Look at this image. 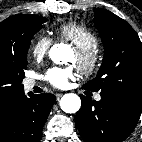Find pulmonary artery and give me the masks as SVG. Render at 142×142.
<instances>
[{
    "label": "pulmonary artery",
    "instance_id": "obj_1",
    "mask_svg": "<svg viewBox=\"0 0 142 142\" xmlns=\"http://www.w3.org/2000/svg\"><path fill=\"white\" fill-rule=\"evenodd\" d=\"M34 86H35V81H34L33 79H28V80L25 81V88H26L27 90L32 89ZM95 99H96L97 101H99V100L101 99V96H100L99 94H97V95L95 96Z\"/></svg>",
    "mask_w": 142,
    "mask_h": 142
}]
</instances>
